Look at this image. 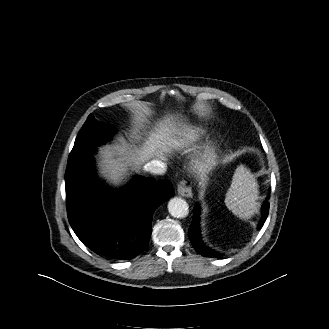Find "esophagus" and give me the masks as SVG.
I'll list each match as a JSON object with an SVG mask.
<instances>
[{
  "mask_svg": "<svg viewBox=\"0 0 329 329\" xmlns=\"http://www.w3.org/2000/svg\"><path fill=\"white\" fill-rule=\"evenodd\" d=\"M178 193L183 197H192L191 187L186 185V181L182 180L178 184Z\"/></svg>",
  "mask_w": 329,
  "mask_h": 329,
  "instance_id": "obj_1",
  "label": "esophagus"
}]
</instances>
